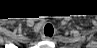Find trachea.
<instances>
[{
	"mask_svg": "<svg viewBox=\"0 0 97 48\" xmlns=\"http://www.w3.org/2000/svg\"><path fill=\"white\" fill-rule=\"evenodd\" d=\"M53 33H54V29H53L52 25L47 24V25L45 26V28H44V34H45L46 36L51 37V36H53Z\"/></svg>",
	"mask_w": 97,
	"mask_h": 48,
	"instance_id": "obj_1",
	"label": "trachea"
}]
</instances>
